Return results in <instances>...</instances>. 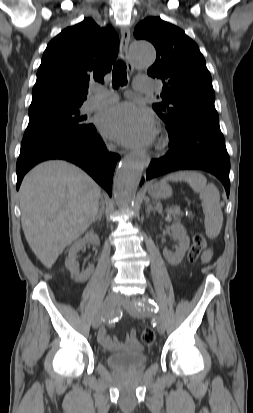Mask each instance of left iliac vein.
Masks as SVG:
<instances>
[{
  "mask_svg": "<svg viewBox=\"0 0 253 413\" xmlns=\"http://www.w3.org/2000/svg\"><path fill=\"white\" fill-rule=\"evenodd\" d=\"M119 303L123 305L127 311L134 317L143 318L149 315V312L145 307L140 305V300L133 298L131 301L128 298L121 297L119 298ZM157 321V330L160 334L165 332V323L161 317H156Z\"/></svg>",
  "mask_w": 253,
  "mask_h": 413,
  "instance_id": "obj_1",
  "label": "left iliac vein"
}]
</instances>
